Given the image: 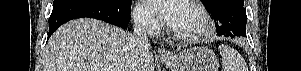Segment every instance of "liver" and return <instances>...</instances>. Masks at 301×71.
I'll list each match as a JSON object with an SVG mask.
<instances>
[{"label": "liver", "instance_id": "1", "mask_svg": "<svg viewBox=\"0 0 301 71\" xmlns=\"http://www.w3.org/2000/svg\"><path fill=\"white\" fill-rule=\"evenodd\" d=\"M43 71H154V57L135 34L80 18L50 37Z\"/></svg>", "mask_w": 301, "mask_h": 71}]
</instances>
